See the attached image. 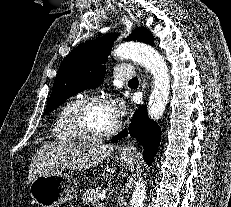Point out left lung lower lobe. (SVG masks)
I'll list each match as a JSON object with an SVG mask.
<instances>
[{
    "label": "left lung lower lobe",
    "mask_w": 231,
    "mask_h": 207,
    "mask_svg": "<svg viewBox=\"0 0 231 207\" xmlns=\"http://www.w3.org/2000/svg\"><path fill=\"white\" fill-rule=\"evenodd\" d=\"M129 133L135 137L144 148L143 158L150 165L156 155L157 148L160 143L161 131L156 122L150 120L147 115L146 106H141L133 115L131 120ZM128 131H122L116 135L112 141L115 142L125 136Z\"/></svg>",
    "instance_id": "obj_1"
}]
</instances>
